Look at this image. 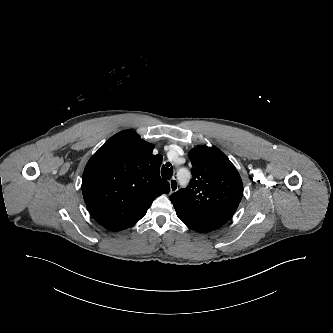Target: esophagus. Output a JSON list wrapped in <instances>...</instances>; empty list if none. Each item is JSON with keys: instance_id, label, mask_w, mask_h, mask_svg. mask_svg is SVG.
<instances>
[{"instance_id": "1", "label": "esophagus", "mask_w": 333, "mask_h": 333, "mask_svg": "<svg viewBox=\"0 0 333 333\" xmlns=\"http://www.w3.org/2000/svg\"><path fill=\"white\" fill-rule=\"evenodd\" d=\"M169 185H170V191H171V193L177 191V189H178V181H177L176 178H172L169 181Z\"/></svg>"}]
</instances>
